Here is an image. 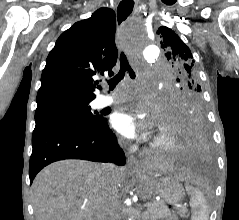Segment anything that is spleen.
I'll return each mask as SVG.
<instances>
[{"instance_id": "spleen-1", "label": "spleen", "mask_w": 239, "mask_h": 220, "mask_svg": "<svg viewBox=\"0 0 239 220\" xmlns=\"http://www.w3.org/2000/svg\"><path fill=\"white\" fill-rule=\"evenodd\" d=\"M185 188L190 196V206L192 208L191 220H208L210 213L209 206L203 193L188 183Z\"/></svg>"}]
</instances>
